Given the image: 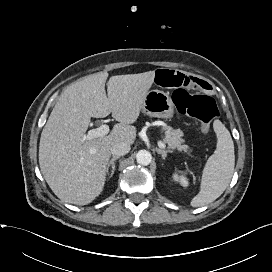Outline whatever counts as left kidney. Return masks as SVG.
I'll return each instance as SVG.
<instances>
[{
  "label": "left kidney",
  "instance_id": "left-kidney-1",
  "mask_svg": "<svg viewBox=\"0 0 272 272\" xmlns=\"http://www.w3.org/2000/svg\"><path fill=\"white\" fill-rule=\"evenodd\" d=\"M173 180L175 182H179L183 187L188 186V180L184 176H179L178 174H174Z\"/></svg>",
  "mask_w": 272,
  "mask_h": 272
}]
</instances>
